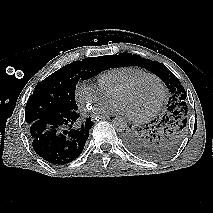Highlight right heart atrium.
<instances>
[{
	"instance_id": "d8ad5b80",
	"label": "right heart atrium",
	"mask_w": 213,
	"mask_h": 213,
	"mask_svg": "<svg viewBox=\"0 0 213 213\" xmlns=\"http://www.w3.org/2000/svg\"><path fill=\"white\" fill-rule=\"evenodd\" d=\"M108 95L99 84L89 81H83L77 84L75 88V99L81 110L89 111L95 106L106 104L110 101Z\"/></svg>"
}]
</instances>
